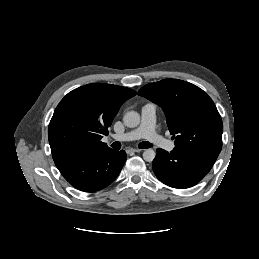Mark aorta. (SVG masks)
<instances>
[{
  "instance_id": "aorta-1",
  "label": "aorta",
  "mask_w": 259,
  "mask_h": 259,
  "mask_svg": "<svg viewBox=\"0 0 259 259\" xmlns=\"http://www.w3.org/2000/svg\"><path fill=\"white\" fill-rule=\"evenodd\" d=\"M124 124L129 128L137 127L140 123V115L136 111H129L123 117ZM156 156L153 149L148 148L143 152V159L147 162H152Z\"/></svg>"
}]
</instances>
